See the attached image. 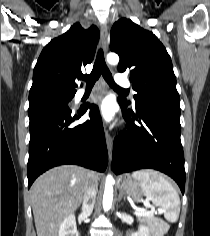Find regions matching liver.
I'll return each mask as SVG.
<instances>
[{
	"label": "liver",
	"instance_id": "obj_1",
	"mask_svg": "<svg viewBox=\"0 0 210 236\" xmlns=\"http://www.w3.org/2000/svg\"><path fill=\"white\" fill-rule=\"evenodd\" d=\"M101 174L75 165L55 167L36 179L30 189L37 236H57L60 224L82 203L90 183Z\"/></svg>",
	"mask_w": 210,
	"mask_h": 236
}]
</instances>
